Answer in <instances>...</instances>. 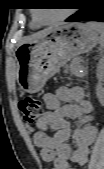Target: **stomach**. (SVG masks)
<instances>
[{"instance_id":"1","label":"stomach","mask_w":104,"mask_h":169,"mask_svg":"<svg viewBox=\"0 0 104 169\" xmlns=\"http://www.w3.org/2000/svg\"><path fill=\"white\" fill-rule=\"evenodd\" d=\"M102 40L89 24L72 23L50 30L24 42L16 51V78L23 92L39 91L62 65L87 53Z\"/></svg>"}]
</instances>
